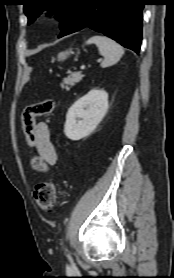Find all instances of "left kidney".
Wrapping results in <instances>:
<instances>
[{"label":"left kidney","instance_id":"5707ae66","mask_svg":"<svg viewBox=\"0 0 174 278\" xmlns=\"http://www.w3.org/2000/svg\"><path fill=\"white\" fill-rule=\"evenodd\" d=\"M108 110V93L92 89L78 99L68 110L64 133L71 140L89 136L99 125Z\"/></svg>","mask_w":174,"mask_h":278}]
</instances>
